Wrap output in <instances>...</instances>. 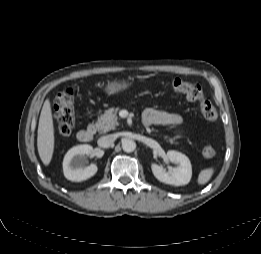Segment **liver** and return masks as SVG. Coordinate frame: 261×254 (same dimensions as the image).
Listing matches in <instances>:
<instances>
[{"mask_svg":"<svg viewBox=\"0 0 261 254\" xmlns=\"http://www.w3.org/2000/svg\"><path fill=\"white\" fill-rule=\"evenodd\" d=\"M54 141L52 110L50 100L47 99L41 110L37 136L38 153L43 164L46 166L49 165L53 156Z\"/></svg>","mask_w":261,"mask_h":254,"instance_id":"liver-1","label":"liver"}]
</instances>
